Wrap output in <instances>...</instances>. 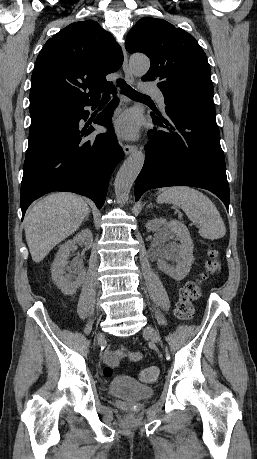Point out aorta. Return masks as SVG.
I'll return each mask as SVG.
<instances>
[{"instance_id": "obj_1", "label": "aorta", "mask_w": 257, "mask_h": 459, "mask_svg": "<svg viewBox=\"0 0 257 459\" xmlns=\"http://www.w3.org/2000/svg\"><path fill=\"white\" fill-rule=\"evenodd\" d=\"M130 67L135 75L142 76L148 72L150 61L144 55H133L130 59ZM144 159V154L141 151H136L120 167L115 178L114 188L116 197L121 202L128 201L130 190L143 167Z\"/></svg>"}]
</instances>
